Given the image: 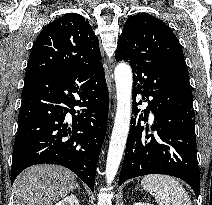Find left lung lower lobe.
<instances>
[{
	"label": "left lung lower lobe",
	"instance_id": "0a47b994",
	"mask_svg": "<svg viewBox=\"0 0 212 205\" xmlns=\"http://www.w3.org/2000/svg\"><path fill=\"white\" fill-rule=\"evenodd\" d=\"M133 70V114L119 178L124 181L148 174H167L187 182L198 198L200 173L196 156L195 115L186 67L165 60H142ZM148 101L144 111L136 96ZM154 115L151 132L146 122ZM136 117H139L138 119Z\"/></svg>",
	"mask_w": 212,
	"mask_h": 205
}]
</instances>
